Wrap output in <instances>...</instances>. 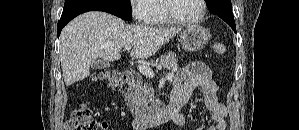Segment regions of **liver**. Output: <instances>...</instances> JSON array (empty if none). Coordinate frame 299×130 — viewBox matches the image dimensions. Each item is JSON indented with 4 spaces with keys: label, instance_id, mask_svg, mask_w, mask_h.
I'll use <instances>...</instances> for the list:
<instances>
[{
    "label": "liver",
    "instance_id": "1",
    "mask_svg": "<svg viewBox=\"0 0 299 130\" xmlns=\"http://www.w3.org/2000/svg\"><path fill=\"white\" fill-rule=\"evenodd\" d=\"M180 28L126 25L123 20L99 11L86 12L68 23L60 35V61L67 86L90 75L97 58L115 61L126 45L130 56L146 59L179 33Z\"/></svg>",
    "mask_w": 299,
    "mask_h": 130
}]
</instances>
